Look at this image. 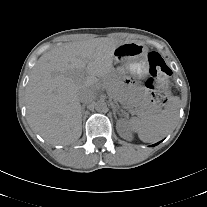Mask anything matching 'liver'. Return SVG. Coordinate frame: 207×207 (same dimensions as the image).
Masks as SVG:
<instances>
[{
  "mask_svg": "<svg viewBox=\"0 0 207 207\" xmlns=\"http://www.w3.org/2000/svg\"><path fill=\"white\" fill-rule=\"evenodd\" d=\"M121 44L110 38L65 43L44 53L35 64L27 88V118L50 144H70L82 133L78 93L94 90L112 72ZM86 72V76L82 73Z\"/></svg>",
  "mask_w": 207,
  "mask_h": 207,
  "instance_id": "1",
  "label": "liver"
}]
</instances>
